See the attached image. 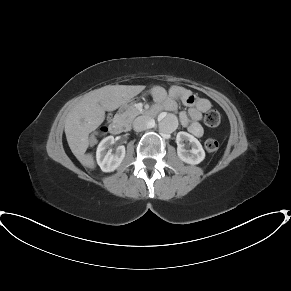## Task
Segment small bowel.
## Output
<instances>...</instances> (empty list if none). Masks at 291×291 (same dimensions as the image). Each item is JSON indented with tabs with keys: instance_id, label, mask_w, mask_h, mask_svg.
Masks as SVG:
<instances>
[{
	"instance_id": "obj_1",
	"label": "small bowel",
	"mask_w": 291,
	"mask_h": 291,
	"mask_svg": "<svg viewBox=\"0 0 291 291\" xmlns=\"http://www.w3.org/2000/svg\"><path fill=\"white\" fill-rule=\"evenodd\" d=\"M151 95L157 112L161 110L176 111L178 101L189 106L188 114H180V122L193 136L201 137L203 135L202 116L211 108V102L208 99L198 97L182 86H173L168 92L160 86H155L151 90Z\"/></svg>"
}]
</instances>
